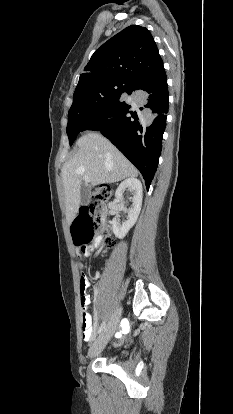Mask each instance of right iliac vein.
<instances>
[{
	"label": "right iliac vein",
	"mask_w": 233,
	"mask_h": 414,
	"mask_svg": "<svg viewBox=\"0 0 233 414\" xmlns=\"http://www.w3.org/2000/svg\"><path fill=\"white\" fill-rule=\"evenodd\" d=\"M121 313L122 308H118L116 312L113 314L111 320L109 321L108 325L106 326L102 334L98 337V339L89 349V357H94L98 355L105 348V346L107 345V343L109 342L110 338L116 330L117 324L121 317Z\"/></svg>",
	"instance_id": "right-iliac-vein-1"
}]
</instances>
